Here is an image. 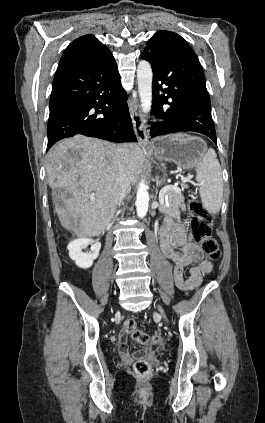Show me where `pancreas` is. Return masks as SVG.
<instances>
[{
    "label": "pancreas",
    "instance_id": "cf45deb5",
    "mask_svg": "<svg viewBox=\"0 0 265 423\" xmlns=\"http://www.w3.org/2000/svg\"><path fill=\"white\" fill-rule=\"evenodd\" d=\"M166 201L168 205L163 204L159 210L163 214L170 215L173 218L180 217V208L184 206V197L181 191L169 190L166 193Z\"/></svg>",
    "mask_w": 265,
    "mask_h": 423
}]
</instances>
